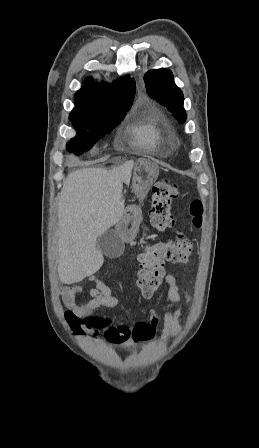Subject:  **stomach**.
<instances>
[{
	"mask_svg": "<svg viewBox=\"0 0 259 448\" xmlns=\"http://www.w3.org/2000/svg\"><path fill=\"white\" fill-rule=\"evenodd\" d=\"M138 166L141 168V176L134 178L133 188L138 198H144L146 194V188L152 184L156 174H158V168L155 164H152L150 160H139ZM142 188V190H140ZM143 219V207L142 206H125L122 213L120 222L116 224V232L124 242H132L135 240L138 232L139 221Z\"/></svg>",
	"mask_w": 259,
	"mask_h": 448,
	"instance_id": "1",
	"label": "stomach"
}]
</instances>
